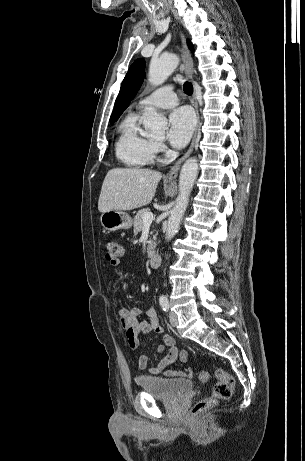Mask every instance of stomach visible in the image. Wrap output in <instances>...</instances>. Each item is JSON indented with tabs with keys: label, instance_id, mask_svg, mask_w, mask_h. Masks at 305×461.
Returning a JSON list of instances; mask_svg holds the SVG:
<instances>
[{
	"label": "stomach",
	"instance_id": "obj_1",
	"mask_svg": "<svg viewBox=\"0 0 305 461\" xmlns=\"http://www.w3.org/2000/svg\"><path fill=\"white\" fill-rule=\"evenodd\" d=\"M100 222L103 228L108 231L130 229L133 224L131 216L120 210L103 212L100 216Z\"/></svg>",
	"mask_w": 305,
	"mask_h": 461
}]
</instances>
